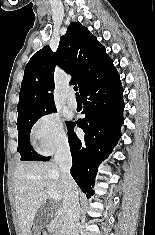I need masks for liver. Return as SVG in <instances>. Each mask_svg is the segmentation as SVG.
Returning <instances> with one entry per match:
<instances>
[{"instance_id": "6515ba94", "label": "liver", "mask_w": 155, "mask_h": 235, "mask_svg": "<svg viewBox=\"0 0 155 235\" xmlns=\"http://www.w3.org/2000/svg\"><path fill=\"white\" fill-rule=\"evenodd\" d=\"M52 190L64 199L59 166L54 162H21L14 171L15 207L22 235H28L36 214ZM61 212L64 215L63 207Z\"/></svg>"}]
</instances>
